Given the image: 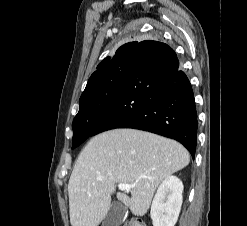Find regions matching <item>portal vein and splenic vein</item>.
Here are the masks:
<instances>
[{
	"label": "portal vein and splenic vein",
	"mask_w": 247,
	"mask_h": 226,
	"mask_svg": "<svg viewBox=\"0 0 247 226\" xmlns=\"http://www.w3.org/2000/svg\"><path fill=\"white\" fill-rule=\"evenodd\" d=\"M133 187V185H129V184H119L118 185V189L121 190V191H127L129 192L131 190V188Z\"/></svg>",
	"instance_id": "18ae733b"
}]
</instances>
